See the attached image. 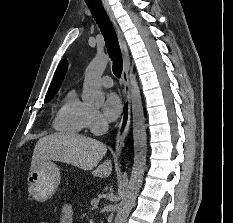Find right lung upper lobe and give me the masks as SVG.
<instances>
[{"instance_id": "obj_1", "label": "right lung upper lobe", "mask_w": 233, "mask_h": 223, "mask_svg": "<svg viewBox=\"0 0 233 223\" xmlns=\"http://www.w3.org/2000/svg\"><path fill=\"white\" fill-rule=\"evenodd\" d=\"M67 70V61L66 60H62L58 66V68L56 69V72L54 74L52 83L48 89V92L46 94V100H51L53 98V96L57 93L61 82L64 78V75L66 73Z\"/></svg>"}]
</instances>
